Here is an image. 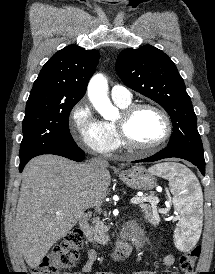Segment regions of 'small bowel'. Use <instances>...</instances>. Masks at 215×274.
I'll return each mask as SVG.
<instances>
[{"instance_id":"obj_1","label":"small bowel","mask_w":215,"mask_h":274,"mask_svg":"<svg viewBox=\"0 0 215 274\" xmlns=\"http://www.w3.org/2000/svg\"><path fill=\"white\" fill-rule=\"evenodd\" d=\"M96 259H97V255H96L95 250L89 249L88 252H87V261H86V263L82 266V268L79 272L74 273V274H89V273H91L93 265H94ZM174 263H175V258H174L173 255L167 254V255L164 256L163 265L166 268L173 267ZM95 274H115V273L112 272V271H104V272H97ZM133 274H154V273L152 271L146 270V271L134 272ZM170 274H178V273L171 272Z\"/></svg>"}]
</instances>
